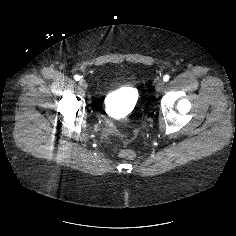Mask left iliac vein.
I'll use <instances>...</instances> for the list:
<instances>
[{
	"label": "left iliac vein",
	"instance_id": "left-iliac-vein-1",
	"mask_svg": "<svg viewBox=\"0 0 236 236\" xmlns=\"http://www.w3.org/2000/svg\"><path fill=\"white\" fill-rule=\"evenodd\" d=\"M164 86H165L164 81L160 79L156 82L155 89H156V91L160 92L163 90Z\"/></svg>",
	"mask_w": 236,
	"mask_h": 236
}]
</instances>
